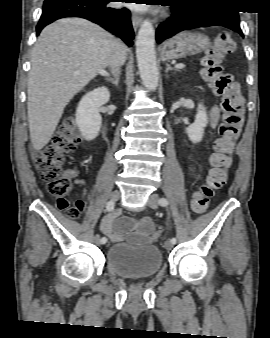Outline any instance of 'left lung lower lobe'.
Segmentation results:
<instances>
[{"instance_id":"obj_1","label":"left lung lower lobe","mask_w":270,"mask_h":338,"mask_svg":"<svg viewBox=\"0 0 270 338\" xmlns=\"http://www.w3.org/2000/svg\"><path fill=\"white\" fill-rule=\"evenodd\" d=\"M171 7L172 17L159 25L156 31L158 43L181 31L209 26H223L243 36L238 11L227 9L219 2L195 3L192 0H175Z\"/></svg>"}]
</instances>
